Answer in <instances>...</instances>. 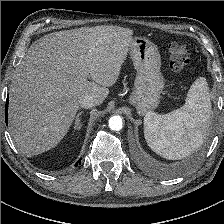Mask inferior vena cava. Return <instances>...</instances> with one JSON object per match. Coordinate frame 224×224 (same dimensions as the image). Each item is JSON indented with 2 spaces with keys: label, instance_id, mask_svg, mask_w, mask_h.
Returning a JSON list of instances; mask_svg holds the SVG:
<instances>
[{
  "label": "inferior vena cava",
  "instance_id": "1",
  "mask_svg": "<svg viewBox=\"0 0 224 224\" xmlns=\"http://www.w3.org/2000/svg\"><path fill=\"white\" fill-rule=\"evenodd\" d=\"M79 105L81 108L89 109L95 107L97 102L92 96L86 95L79 100Z\"/></svg>",
  "mask_w": 224,
  "mask_h": 224
}]
</instances>
